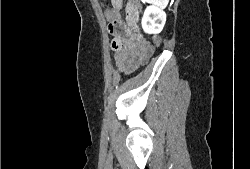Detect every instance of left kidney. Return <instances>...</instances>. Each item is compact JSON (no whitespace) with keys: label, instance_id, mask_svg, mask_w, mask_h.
<instances>
[{"label":"left kidney","instance_id":"1","mask_svg":"<svg viewBox=\"0 0 250 169\" xmlns=\"http://www.w3.org/2000/svg\"><path fill=\"white\" fill-rule=\"evenodd\" d=\"M166 22V12L159 8V6H147L142 16L141 24L143 30L148 34H157L161 32Z\"/></svg>","mask_w":250,"mask_h":169}]
</instances>
